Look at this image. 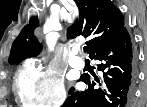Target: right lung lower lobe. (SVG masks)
<instances>
[{"label": "right lung lower lobe", "mask_w": 147, "mask_h": 107, "mask_svg": "<svg viewBox=\"0 0 147 107\" xmlns=\"http://www.w3.org/2000/svg\"><path fill=\"white\" fill-rule=\"evenodd\" d=\"M91 59L100 61L97 69L103 72L98 85L89 75L80 81L88 89L71 94L62 107H130L137 78L136 57L131 38L124 28L113 40L97 49Z\"/></svg>", "instance_id": "obj_1"}]
</instances>
